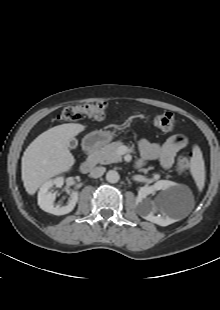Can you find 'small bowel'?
I'll list each match as a JSON object with an SVG mask.
<instances>
[{
	"mask_svg": "<svg viewBox=\"0 0 220 310\" xmlns=\"http://www.w3.org/2000/svg\"><path fill=\"white\" fill-rule=\"evenodd\" d=\"M188 146V138L185 135L177 134L168 138L164 143L158 144L142 139L139 142V149L142 160L158 159L164 168H170L179 151Z\"/></svg>",
	"mask_w": 220,
	"mask_h": 310,
	"instance_id": "1",
	"label": "small bowel"
}]
</instances>
